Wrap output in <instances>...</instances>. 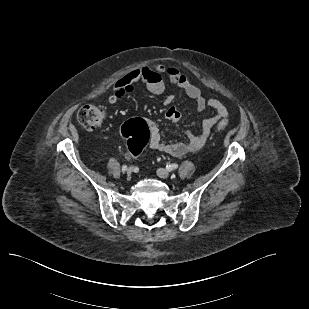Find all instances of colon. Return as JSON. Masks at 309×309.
<instances>
[{
	"mask_svg": "<svg viewBox=\"0 0 309 309\" xmlns=\"http://www.w3.org/2000/svg\"><path fill=\"white\" fill-rule=\"evenodd\" d=\"M106 117V112L101 106L85 105L77 115L79 123L88 131H95L101 128ZM228 126L226 120L217 124L218 130H224ZM122 135L127 140L128 150L131 156H138L150 140V132L146 121L135 118L127 121L122 126Z\"/></svg>",
	"mask_w": 309,
	"mask_h": 309,
	"instance_id": "colon-1",
	"label": "colon"
}]
</instances>
